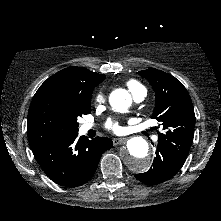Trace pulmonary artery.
Here are the masks:
<instances>
[{"label":"pulmonary artery","mask_w":221,"mask_h":221,"mask_svg":"<svg viewBox=\"0 0 221 221\" xmlns=\"http://www.w3.org/2000/svg\"><path fill=\"white\" fill-rule=\"evenodd\" d=\"M131 94L133 96V100L136 103H140L145 99L147 92H146V89L143 86H138V87H135L134 89L131 90ZM92 128H93V125L90 124V123H85V124L82 125V130L83 131H88ZM157 139H158V137L155 136L154 140L157 141Z\"/></svg>","instance_id":"1"}]
</instances>
